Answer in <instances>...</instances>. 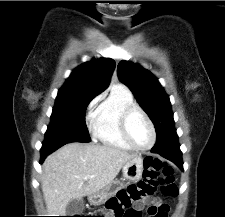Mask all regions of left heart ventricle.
I'll list each match as a JSON object with an SVG mask.
<instances>
[{
    "instance_id": "b2bd125f",
    "label": "left heart ventricle",
    "mask_w": 225,
    "mask_h": 217,
    "mask_svg": "<svg viewBox=\"0 0 225 217\" xmlns=\"http://www.w3.org/2000/svg\"><path fill=\"white\" fill-rule=\"evenodd\" d=\"M129 130L134 143L140 147L150 145L152 141V134L150 127L144 117L135 113L129 123Z\"/></svg>"
}]
</instances>
